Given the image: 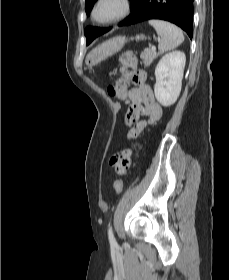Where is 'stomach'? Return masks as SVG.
<instances>
[{"label": "stomach", "instance_id": "0dacf381", "mask_svg": "<svg viewBox=\"0 0 229 280\" xmlns=\"http://www.w3.org/2000/svg\"><path fill=\"white\" fill-rule=\"evenodd\" d=\"M146 37L141 34L135 37L136 40H144ZM134 38H131L133 40ZM127 42V38L124 36H117L108 41L102 43L95 49L91 50L86 58L85 64L88 69H91L93 66L97 65L101 61L107 59L108 57L114 55L118 51H120L125 43Z\"/></svg>", "mask_w": 229, "mask_h": 280}]
</instances>
